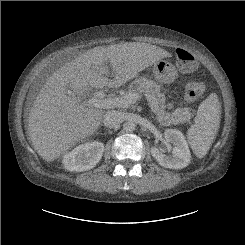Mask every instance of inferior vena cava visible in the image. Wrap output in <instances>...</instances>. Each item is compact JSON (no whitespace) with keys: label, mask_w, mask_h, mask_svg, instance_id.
I'll list each match as a JSON object with an SVG mask.
<instances>
[{"label":"inferior vena cava","mask_w":245,"mask_h":245,"mask_svg":"<svg viewBox=\"0 0 245 245\" xmlns=\"http://www.w3.org/2000/svg\"><path fill=\"white\" fill-rule=\"evenodd\" d=\"M123 121V117L120 112L116 110L107 111L103 116V124L105 127L114 128L120 125Z\"/></svg>","instance_id":"inferior-vena-cava-1"}]
</instances>
